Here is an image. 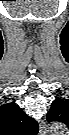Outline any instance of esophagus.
<instances>
[{
    "label": "esophagus",
    "instance_id": "esophagus-1",
    "mask_svg": "<svg viewBox=\"0 0 69 135\" xmlns=\"http://www.w3.org/2000/svg\"><path fill=\"white\" fill-rule=\"evenodd\" d=\"M46 131H47V126H46L45 122L42 120L40 123V133L45 134Z\"/></svg>",
    "mask_w": 69,
    "mask_h": 135
}]
</instances>
